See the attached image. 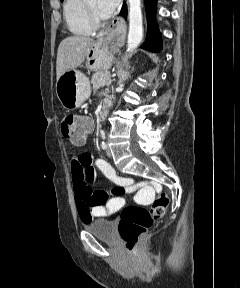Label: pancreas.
Listing matches in <instances>:
<instances>
[{
    "mask_svg": "<svg viewBox=\"0 0 240 288\" xmlns=\"http://www.w3.org/2000/svg\"><path fill=\"white\" fill-rule=\"evenodd\" d=\"M112 81L113 80L111 79L110 74L103 71H97L91 78V84L93 85L94 89H98L103 86H110Z\"/></svg>",
    "mask_w": 240,
    "mask_h": 288,
    "instance_id": "obj_1",
    "label": "pancreas"
}]
</instances>
